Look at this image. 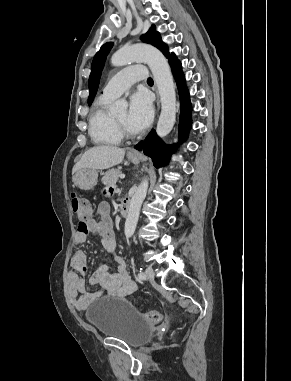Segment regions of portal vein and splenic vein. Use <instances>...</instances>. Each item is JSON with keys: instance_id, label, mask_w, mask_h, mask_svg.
<instances>
[{"instance_id": "18ae733b", "label": "portal vein and splenic vein", "mask_w": 291, "mask_h": 381, "mask_svg": "<svg viewBox=\"0 0 291 381\" xmlns=\"http://www.w3.org/2000/svg\"><path fill=\"white\" fill-rule=\"evenodd\" d=\"M120 178H121V179H124V178H125V175H124V174H121V175H120Z\"/></svg>"}]
</instances>
